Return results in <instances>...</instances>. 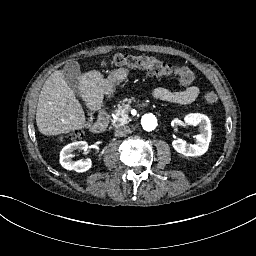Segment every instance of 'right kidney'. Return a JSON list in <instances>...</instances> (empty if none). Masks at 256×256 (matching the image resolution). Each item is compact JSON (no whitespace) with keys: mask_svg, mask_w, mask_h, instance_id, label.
Masks as SVG:
<instances>
[{"mask_svg":"<svg viewBox=\"0 0 256 256\" xmlns=\"http://www.w3.org/2000/svg\"><path fill=\"white\" fill-rule=\"evenodd\" d=\"M86 149H88V143L86 141L69 143L61 150L60 164L66 170H74L77 173H83L90 170L92 167L90 159H80L76 162L71 160L74 157L72 154L74 150L82 151Z\"/></svg>","mask_w":256,"mask_h":256,"instance_id":"1","label":"right kidney"}]
</instances>
